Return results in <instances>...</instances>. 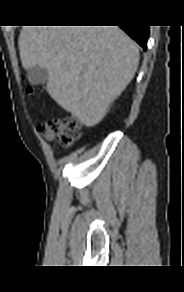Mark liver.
<instances>
[{"label": "liver", "instance_id": "liver-1", "mask_svg": "<svg viewBox=\"0 0 184 292\" xmlns=\"http://www.w3.org/2000/svg\"><path fill=\"white\" fill-rule=\"evenodd\" d=\"M22 66L48 71L46 91L87 127L99 123L133 79L139 49L118 26H24Z\"/></svg>", "mask_w": 184, "mask_h": 292}]
</instances>
